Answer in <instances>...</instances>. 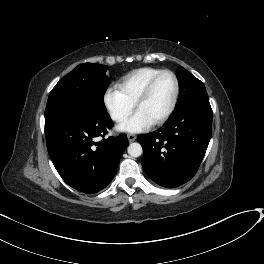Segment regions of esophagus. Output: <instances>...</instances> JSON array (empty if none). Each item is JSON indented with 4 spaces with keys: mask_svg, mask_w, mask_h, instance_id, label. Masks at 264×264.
<instances>
[{
    "mask_svg": "<svg viewBox=\"0 0 264 264\" xmlns=\"http://www.w3.org/2000/svg\"><path fill=\"white\" fill-rule=\"evenodd\" d=\"M127 137H128L129 142H133L137 138L135 134H128Z\"/></svg>",
    "mask_w": 264,
    "mask_h": 264,
    "instance_id": "esophagus-1",
    "label": "esophagus"
}]
</instances>
